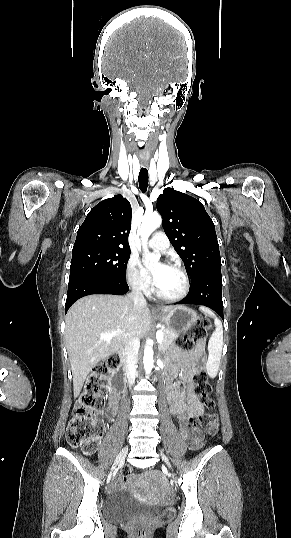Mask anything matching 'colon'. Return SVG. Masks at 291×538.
<instances>
[{"label": "colon", "mask_w": 291, "mask_h": 538, "mask_svg": "<svg viewBox=\"0 0 291 538\" xmlns=\"http://www.w3.org/2000/svg\"><path fill=\"white\" fill-rule=\"evenodd\" d=\"M210 327V320L201 318L177 339V345L185 351H190L195 342L206 334ZM119 360L120 355L114 353L98 364L89 374L66 430V440L70 446L74 448L83 447L87 452L93 451L97 446L102 433L98 415L104 406L107 381L116 372ZM192 378L200 402L209 410L199 417L198 422L192 420L194 431L214 436L218 431V416L212 411L214 408V401L211 398L212 386L206 373L202 370L196 371ZM130 477L131 472L126 470L124 472V482H128ZM135 535L136 538L145 537L146 527L144 524H137Z\"/></svg>", "instance_id": "colon-1"}]
</instances>
